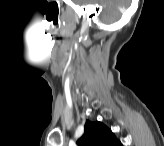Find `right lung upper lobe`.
I'll list each match as a JSON object with an SVG mask.
<instances>
[{"label": "right lung upper lobe", "mask_w": 164, "mask_h": 146, "mask_svg": "<svg viewBox=\"0 0 164 146\" xmlns=\"http://www.w3.org/2000/svg\"><path fill=\"white\" fill-rule=\"evenodd\" d=\"M79 146H121L112 131L101 122L86 121L85 132L77 141Z\"/></svg>", "instance_id": "obj_1"}]
</instances>
